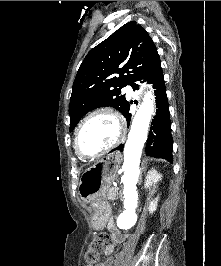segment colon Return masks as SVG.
Listing matches in <instances>:
<instances>
[{
	"label": "colon",
	"instance_id": "colon-1",
	"mask_svg": "<svg viewBox=\"0 0 221 266\" xmlns=\"http://www.w3.org/2000/svg\"><path fill=\"white\" fill-rule=\"evenodd\" d=\"M108 240L107 233H99L95 235L90 243L89 250L86 254V261L89 264L95 263L99 255L103 252ZM91 266V265H89Z\"/></svg>",
	"mask_w": 221,
	"mask_h": 266
}]
</instances>
